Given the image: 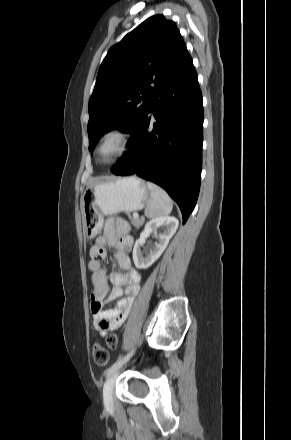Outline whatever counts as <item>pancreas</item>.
Instances as JSON below:
<instances>
[{
	"instance_id": "1",
	"label": "pancreas",
	"mask_w": 291,
	"mask_h": 440,
	"mask_svg": "<svg viewBox=\"0 0 291 440\" xmlns=\"http://www.w3.org/2000/svg\"><path fill=\"white\" fill-rule=\"evenodd\" d=\"M128 216H129L133 226L139 228V227H141L143 225V223H144L143 219L134 218V217H131L130 215H128Z\"/></svg>"
}]
</instances>
